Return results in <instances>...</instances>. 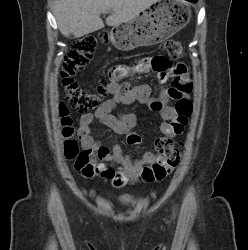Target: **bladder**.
<instances>
[{
    "label": "bladder",
    "instance_id": "1",
    "mask_svg": "<svg viewBox=\"0 0 248 250\" xmlns=\"http://www.w3.org/2000/svg\"><path fill=\"white\" fill-rule=\"evenodd\" d=\"M121 200L124 203H130L134 200V196L131 194H124L122 195Z\"/></svg>",
    "mask_w": 248,
    "mask_h": 250
}]
</instances>
